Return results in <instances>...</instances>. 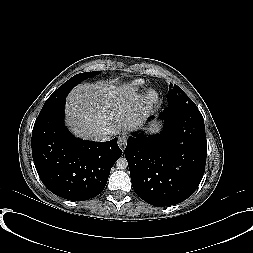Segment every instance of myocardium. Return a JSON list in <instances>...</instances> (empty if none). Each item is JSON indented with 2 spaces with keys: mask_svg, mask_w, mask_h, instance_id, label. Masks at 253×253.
Returning a JSON list of instances; mask_svg holds the SVG:
<instances>
[{
  "mask_svg": "<svg viewBox=\"0 0 253 253\" xmlns=\"http://www.w3.org/2000/svg\"><path fill=\"white\" fill-rule=\"evenodd\" d=\"M159 99V94L155 88H148L144 94V102L147 106L155 104Z\"/></svg>",
  "mask_w": 253,
  "mask_h": 253,
  "instance_id": "myocardium-1",
  "label": "myocardium"
}]
</instances>
